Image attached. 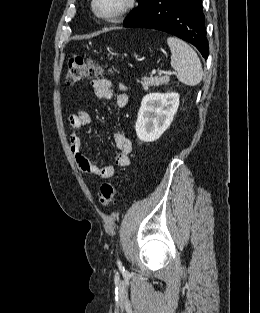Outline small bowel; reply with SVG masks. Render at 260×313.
<instances>
[{
  "label": "small bowel",
  "instance_id": "c3829d8e",
  "mask_svg": "<svg viewBox=\"0 0 260 313\" xmlns=\"http://www.w3.org/2000/svg\"><path fill=\"white\" fill-rule=\"evenodd\" d=\"M92 87L96 97L101 99H112L115 95L116 106L123 108L129 101L127 88L121 83L112 82L106 78L95 79ZM91 123L90 114L80 109L68 116L70 150L74 157L78 170L86 176H96L103 179L112 178L119 167L130 164L129 155L132 151V142L125 133L118 132L113 135V144L117 150L114 158V166H99L93 164L82 152V140L79 130Z\"/></svg>",
  "mask_w": 260,
  "mask_h": 313
}]
</instances>
